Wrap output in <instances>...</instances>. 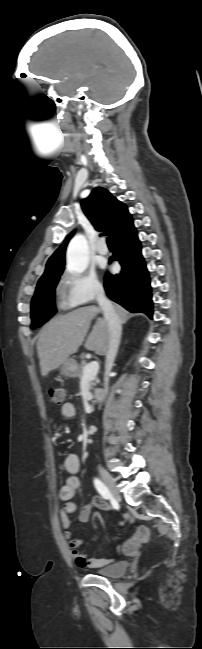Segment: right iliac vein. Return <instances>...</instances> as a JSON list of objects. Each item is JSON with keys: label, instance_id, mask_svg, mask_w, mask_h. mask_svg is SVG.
<instances>
[{"label": "right iliac vein", "instance_id": "obj_1", "mask_svg": "<svg viewBox=\"0 0 202 649\" xmlns=\"http://www.w3.org/2000/svg\"><path fill=\"white\" fill-rule=\"evenodd\" d=\"M98 470H99V473H100V475L102 477V480L104 481V483H105L106 487L108 488L109 492L111 493V495L116 500H120L119 491L117 489L114 478L108 472H106L101 466H99Z\"/></svg>", "mask_w": 202, "mask_h": 649}]
</instances>
